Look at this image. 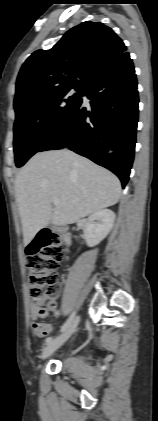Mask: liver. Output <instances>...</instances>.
<instances>
[{
    "label": "liver",
    "instance_id": "liver-1",
    "mask_svg": "<svg viewBox=\"0 0 158 421\" xmlns=\"http://www.w3.org/2000/svg\"><path fill=\"white\" fill-rule=\"evenodd\" d=\"M121 183L110 171L68 150L36 153L16 176L24 245L49 223L64 226L112 206ZM54 200L59 206L52 208Z\"/></svg>",
    "mask_w": 158,
    "mask_h": 421
}]
</instances>
